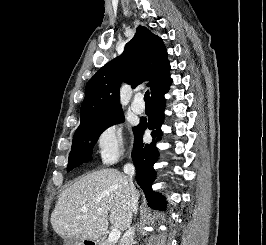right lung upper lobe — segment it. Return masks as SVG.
I'll return each mask as SVG.
<instances>
[{"instance_id":"cb5924a9","label":"right lung upper lobe","mask_w":266,"mask_h":245,"mask_svg":"<svg viewBox=\"0 0 266 245\" xmlns=\"http://www.w3.org/2000/svg\"><path fill=\"white\" fill-rule=\"evenodd\" d=\"M169 71L162 39L146 27L138 26L123 54L98 70L87 83L80 110L81 122L122 111L119 104L121 81L135 88L148 80L147 86L153 96L171 82Z\"/></svg>"}]
</instances>
